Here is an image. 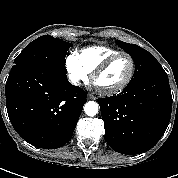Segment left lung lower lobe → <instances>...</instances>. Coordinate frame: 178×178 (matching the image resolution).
Here are the masks:
<instances>
[{"label": "left lung lower lobe", "instance_id": "1", "mask_svg": "<svg viewBox=\"0 0 178 178\" xmlns=\"http://www.w3.org/2000/svg\"><path fill=\"white\" fill-rule=\"evenodd\" d=\"M98 103L110 147L127 155L144 153L160 140L170 122L168 76L129 83L119 95L99 98Z\"/></svg>", "mask_w": 178, "mask_h": 178}]
</instances>
